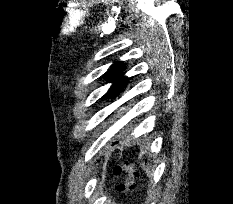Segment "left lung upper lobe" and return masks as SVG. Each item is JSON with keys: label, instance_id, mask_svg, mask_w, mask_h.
Here are the masks:
<instances>
[{"label": "left lung upper lobe", "instance_id": "5c2ea615", "mask_svg": "<svg viewBox=\"0 0 233 204\" xmlns=\"http://www.w3.org/2000/svg\"><path fill=\"white\" fill-rule=\"evenodd\" d=\"M122 69H123V63L115 62L108 70V72H106L107 77L113 75L111 81H114V84L111 86L108 92L110 97L116 96L117 93H120V91L125 87V85L128 82L127 77H122L123 76V74H121Z\"/></svg>", "mask_w": 233, "mask_h": 204}]
</instances>
